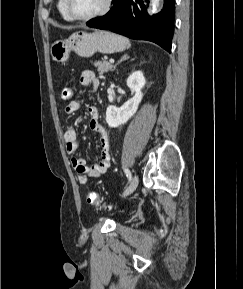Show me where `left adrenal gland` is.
Returning a JSON list of instances; mask_svg holds the SVG:
<instances>
[{
  "label": "left adrenal gland",
  "instance_id": "1",
  "mask_svg": "<svg viewBox=\"0 0 243 289\" xmlns=\"http://www.w3.org/2000/svg\"><path fill=\"white\" fill-rule=\"evenodd\" d=\"M127 59H129V56H128L127 54H124V55L121 57V59L114 65L113 70L116 68V66H117L119 63H121L122 61L127 60Z\"/></svg>",
  "mask_w": 243,
  "mask_h": 289
}]
</instances>
